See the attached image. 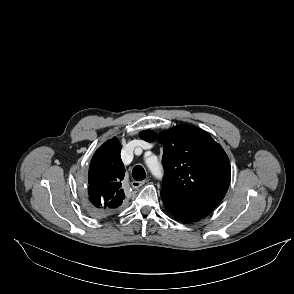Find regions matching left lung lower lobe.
Wrapping results in <instances>:
<instances>
[{
    "instance_id": "obj_1",
    "label": "left lung lower lobe",
    "mask_w": 294,
    "mask_h": 294,
    "mask_svg": "<svg viewBox=\"0 0 294 294\" xmlns=\"http://www.w3.org/2000/svg\"><path fill=\"white\" fill-rule=\"evenodd\" d=\"M178 220H181L182 222H188V221H184L182 219H180L179 217L175 216Z\"/></svg>"
}]
</instances>
